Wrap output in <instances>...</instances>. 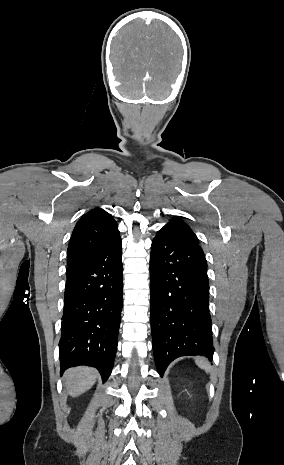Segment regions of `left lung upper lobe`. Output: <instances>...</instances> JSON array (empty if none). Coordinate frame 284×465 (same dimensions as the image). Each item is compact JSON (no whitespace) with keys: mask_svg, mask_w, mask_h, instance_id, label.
<instances>
[{"mask_svg":"<svg viewBox=\"0 0 284 465\" xmlns=\"http://www.w3.org/2000/svg\"><path fill=\"white\" fill-rule=\"evenodd\" d=\"M162 229L174 230V231H176V232H178L180 234L185 235L189 239H191V240H193L195 242H198V238L193 233L191 228L187 224L182 222L181 220L173 219L168 224H166Z\"/></svg>","mask_w":284,"mask_h":465,"instance_id":"obj_1","label":"left lung upper lobe"}]
</instances>
